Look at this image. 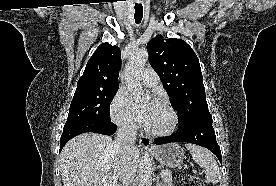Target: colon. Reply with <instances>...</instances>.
<instances>
[{
  "mask_svg": "<svg viewBox=\"0 0 276 186\" xmlns=\"http://www.w3.org/2000/svg\"><path fill=\"white\" fill-rule=\"evenodd\" d=\"M174 180L175 186H205L199 177L181 172L175 174Z\"/></svg>",
  "mask_w": 276,
  "mask_h": 186,
  "instance_id": "colon-1",
  "label": "colon"
}]
</instances>
